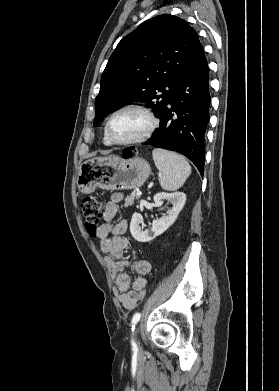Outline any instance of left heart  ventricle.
<instances>
[{
  "label": "left heart ventricle",
  "instance_id": "obj_1",
  "mask_svg": "<svg viewBox=\"0 0 279 391\" xmlns=\"http://www.w3.org/2000/svg\"><path fill=\"white\" fill-rule=\"evenodd\" d=\"M148 126L144 114L134 110L118 113L111 121L110 135L117 141H126L140 135Z\"/></svg>",
  "mask_w": 279,
  "mask_h": 391
}]
</instances>
